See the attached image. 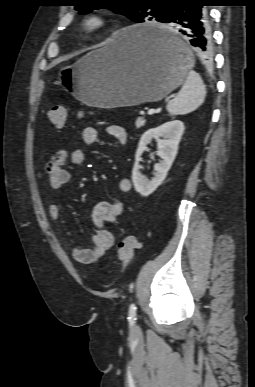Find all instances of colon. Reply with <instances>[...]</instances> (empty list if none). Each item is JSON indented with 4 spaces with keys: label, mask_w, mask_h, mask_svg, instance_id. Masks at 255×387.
I'll return each mask as SVG.
<instances>
[{
    "label": "colon",
    "mask_w": 255,
    "mask_h": 387,
    "mask_svg": "<svg viewBox=\"0 0 255 387\" xmlns=\"http://www.w3.org/2000/svg\"><path fill=\"white\" fill-rule=\"evenodd\" d=\"M84 116V113H80V117ZM49 122L55 127L62 128L67 122V109L63 105L53 106L47 113ZM139 248L138 240L132 236H125L118 244V258L120 261L119 269H124L132 261L135 251Z\"/></svg>",
    "instance_id": "1"
}]
</instances>
